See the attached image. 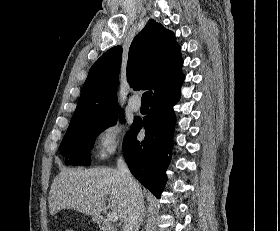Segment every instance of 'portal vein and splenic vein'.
Instances as JSON below:
<instances>
[{
	"label": "portal vein and splenic vein",
	"instance_id": "1",
	"mask_svg": "<svg viewBox=\"0 0 280 231\" xmlns=\"http://www.w3.org/2000/svg\"><path fill=\"white\" fill-rule=\"evenodd\" d=\"M108 217V221H118V215L116 213V211H109V213H107Z\"/></svg>",
	"mask_w": 280,
	"mask_h": 231
}]
</instances>
